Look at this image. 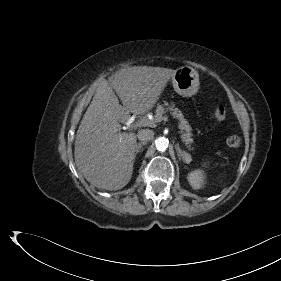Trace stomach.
I'll return each mask as SVG.
<instances>
[{"label":"stomach","mask_w":281,"mask_h":281,"mask_svg":"<svg viewBox=\"0 0 281 281\" xmlns=\"http://www.w3.org/2000/svg\"><path fill=\"white\" fill-rule=\"evenodd\" d=\"M199 84V75L190 66L178 68L172 76V85L175 92L184 97L196 94Z\"/></svg>","instance_id":"stomach-1"}]
</instances>
